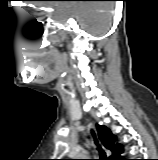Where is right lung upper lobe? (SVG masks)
Returning a JSON list of instances; mask_svg holds the SVG:
<instances>
[{"label": "right lung upper lobe", "mask_w": 158, "mask_h": 160, "mask_svg": "<svg viewBox=\"0 0 158 160\" xmlns=\"http://www.w3.org/2000/svg\"><path fill=\"white\" fill-rule=\"evenodd\" d=\"M97 132L104 148L112 152V155L107 160H116V158L119 157L123 150L120 144H115L116 136L113 135L111 131L103 125H97Z\"/></svg>", "instance_id": "obj_1"}]
</instances>
